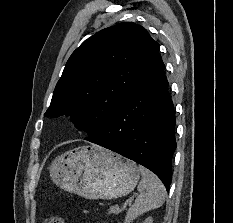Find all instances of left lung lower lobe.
Listing matches in <instances>:
<instances>
[{
    "label": "left lung lower lobe",
    "mask_w": 233,
    "mask_h": 223,
    "mask_svg": "<svg viewBox=\"0 0 233 223\" xmlns=\"http://www.w3.org/2000/svg\"><path fill=\"white\" fill-rule=\"evenodd\" d=\"M164 68L158 53L135 91L89 141L148 168L169 191L176 121Z\"/></svg>",
    "instance_id": "1"
}]
</instances>
